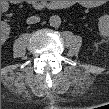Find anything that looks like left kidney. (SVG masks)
<instances>
[{
  "mask_svg": "<svg viewBox=\"0 0 109 109\" xmlns=\"http://www.w3.org/2000/svg\"><path fill=\"white\" fill-rule=\"evenodd\" d=\"M99 30L103 36L107 35L108 31V18L106 16H102L99 19Z\"/></svg>",
  "mask_w": 109,
  "mask_h": 109,
  "instance_id": "obj_1",
  "label": "left kidney"
}]
</instances>
